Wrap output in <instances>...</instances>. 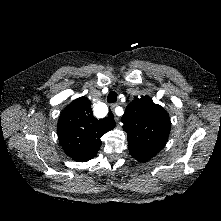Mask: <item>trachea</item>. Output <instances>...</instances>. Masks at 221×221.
<instances>
[{
    "label": "trachea",
    "instance_id": "1",
    "mask_svg": "<svg viewBox=\"0 0 221 221\" xmlns=\"http://www.w3.org/2000/svg\"><path fill=\"white\" fill-rule=\"evenodd\" d=\"M117 93L115 91H111L107 96V102L108 103H114L117 101Z\"/></svg>",
    "mask_w": 221,
    "mask_h": 221
}]
</instances>
